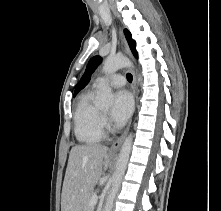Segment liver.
Instances as JSON below:
<instances>
[{
  "mask_svg": "<svg viewBox=\"0 0 221 211\" xmlns=\"http://www.w3.org/2000/svg\"><path fill=\"white\" fill-rule=\"evenodd\" d=\"M108 148L99 144L75 146L69 154L62 188L61 211H84V202L107 170Z\"/></svg>",
  "mask_w": 221,
  "mask_h": 211,
  "instance_id": "liver-1",
  "label": "liver"
}]
</instances>
